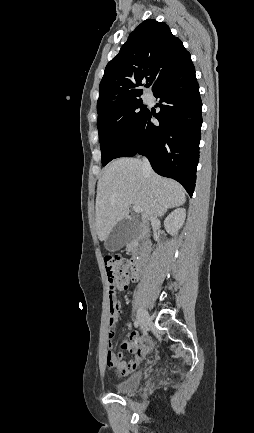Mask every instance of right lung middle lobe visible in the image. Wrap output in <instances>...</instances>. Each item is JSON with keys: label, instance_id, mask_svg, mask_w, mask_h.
I'll return each mask as SVG.
<instances>
[{"label": "right lung middle lobe", "instance_id": "1", "mask_svg": "<svg viewBox=\"0 0 254 433\" xmlns=\"http://www.w3.org/2000/svg\"><path fill=\"white\" fill-rule=\"evenodd\" d=\"M147 112L141 99L98 112L97 127L103 166L114 159Z\"/></svg>", "mask_w": 254, "mask_h": 433}]
</instances>
